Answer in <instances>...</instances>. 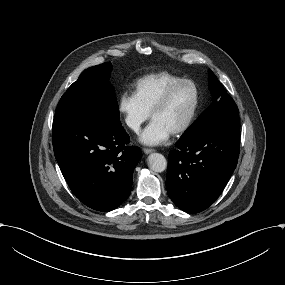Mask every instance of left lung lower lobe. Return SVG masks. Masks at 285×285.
Segmentation results:
<instances>
[{"label": "left lung lower lobe", "mask_w": 285, "mask_h": 285, "mask_svg": "<svg viewBox=\"0 0 285 285\" xmlns=\"http://www.w3.org/2000/svg\"><path fill=\"white\" fill-rule=\"evenodd\" d=\"M239 115L216 119L176 143L169 154L167 192L189 213L207 209L220 196L238 161Z\"/></svg>", "instance_id": "left-lung-lower-lobe-1"}]
</instances>
